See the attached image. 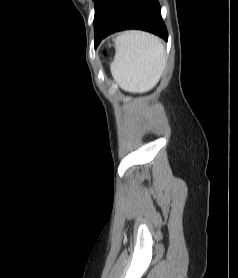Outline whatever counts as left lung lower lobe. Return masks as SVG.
Segmentation results:
<instances>
[{
  "mask_svg": "<svg viewBox=\"0 0 238 278\" xmlns=\"http://www.w3.org/2000/svg\"><path fill=\"white\" fill-rule=\"evenodd\" d=\"M94 29L95 47L107 35L125 29L145 30L168 40L157 0H97Z\"/></svg>",
  "mask_w": 238,
  "mask_h": 278,
  "instance_id": "obj_1",
  "label": "left lung lower lobe"
}]
</instances>
